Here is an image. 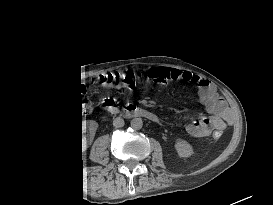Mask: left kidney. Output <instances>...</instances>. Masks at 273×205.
Returning a JSON list of instances; mask_svg holds the SVG:
<instances>
[{"label":"left kidney","instance_id":"5707ae66","mask_svg":"<svg viewBox=\"0 0 273 205\" xmlns=\"http://www.w3.org/2000/svg\"><path fill=\"white\" fill-rule=\"evenodd\" d=\"M175 149L180 157L186 158L193 154L192 146L185 140L178 139L175 143Z\"/></svg>","mask_w":273,"mask_h":205}]
</instances>
